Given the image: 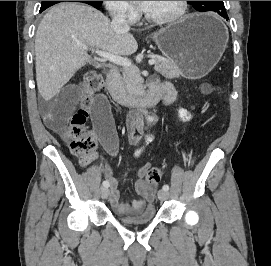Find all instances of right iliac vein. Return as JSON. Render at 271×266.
Here are the masks:
<instances>
[{
  "instance_id": "obj_1",
  "label": "right iliac vein",
  "mask_w": 271,
  "mask_h": 266,
  "mask_svg": "<svg viewBox=\"0 0 271 266\" xmlns=\"http://www.w3.org/2000/svg\"><path fill=\"white\" fill-rule=\"evenodd\" d=\"M108 194H109V189L106 187H102L101 188V197L103 199H106L108 197Z\"/></svg>"
}]
</instances>
